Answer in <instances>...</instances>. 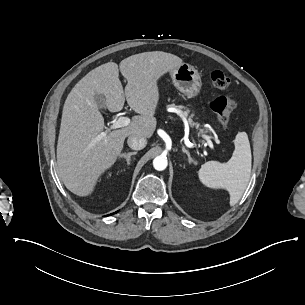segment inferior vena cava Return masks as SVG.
<instances>
[{"label":"inferior vena cava","instance_id":"1","mask_svg":"<svg viewBox=\"0 0 305 305\" xmlns=\"http://www.w3.org/2000/svg\"><path fill=\"white\" fill-rule=\"evenodd\" d=\"M127 143L130 148H132L134 150H141L146 146L147 140L144 137L137 138L134 136H129Z\"/></svg>","mask_w":305,"mask_h":305}]
</instances>
